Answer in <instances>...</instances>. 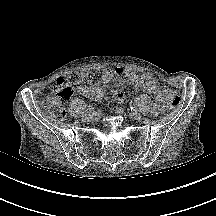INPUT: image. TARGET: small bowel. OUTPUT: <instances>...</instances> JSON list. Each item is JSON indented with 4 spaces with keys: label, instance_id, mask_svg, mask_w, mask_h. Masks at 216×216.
<instances>
[{
    "label": "small bowel",
    "instance_id": "small-bowel-1",
    "mask_svg": "<svg viewBox=\"0 0 216 216\" xmlns=\"http://www.w3.org/2000/svg\"><path fill=\"white\" fill-rule=\"evenodd\" d=\"M113 83L118 89L113 92L114 98L118 103L125 101V94L119 90L125 84H131L136 90L151 92L156 97V103L153 106V113L159 114L164 107L169 89L160 86L155 77L150 73L136 75L130 71L117 68L115 71L105 69L101 76V81L97 85L81 84L77 90L80 94L97 101L103 97L108 84Z\"/></svg>",
    "mask_w": 216,
    "mask_h": 216
}]
</instances>
